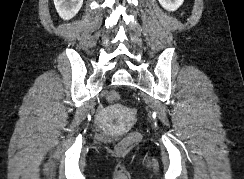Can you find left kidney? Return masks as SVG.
Instances as JSON below:
<instances>
[{
  "label": "left kidney",
  "mask_w": 244,
  "mask_h": 179,
  "mask_svg": "<svg viewBox=\"0 0 244 179\" xmlns=\"http://www.w3.org/2000/svg\"><path fill=\"white\" fill-rule=\"evenodd\" d=\"M164 10L168 12H175L180 6H182L184 0H158Z\"/></svg>",
  "instance_id": "left-kidney-1"
}]
</instances>
